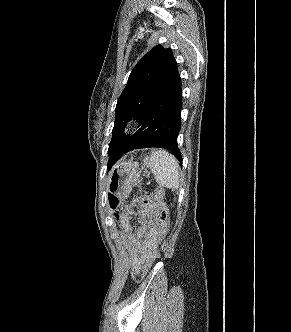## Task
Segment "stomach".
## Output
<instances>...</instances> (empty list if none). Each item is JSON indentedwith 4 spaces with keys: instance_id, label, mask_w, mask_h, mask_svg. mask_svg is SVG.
I'll use <instances>...</instances> for the list:
<instances>
[{
    "instance_id": "1",
    "label": "stomach",
    "mask_w": 291,
    "mask_h": 332,
    "mask_svg": "<svg viewBox=\"0 0 291 332\" xmlns=\"http://www.w3.org/2000/svg\"><path fill=\"white\" fill-rule=\"evenodd\" d=\"M138 172L139 165L137 162L131 160L122 162L110 172L109 190L120 199L126 198L131 192L132 184Z\"/></svg>"
}]
</instances>
